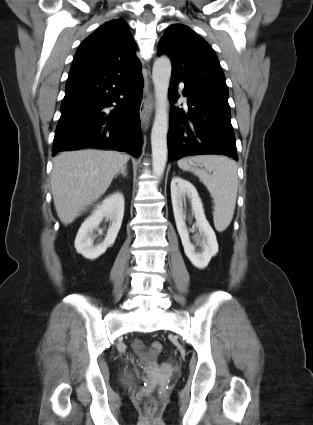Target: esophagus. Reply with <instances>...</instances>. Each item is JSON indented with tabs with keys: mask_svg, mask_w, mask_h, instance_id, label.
Wrapping results in <instances>:
<instances>
[{
	"mask_svg": "<svg viewBox=\"0 0 313 425\" xmlns=\"http://www.w3.org/2000/svg\"><path fill=\"white\" fill-rule=\"evenodd\" d=\"M154 104V96L150 89H147L143 95L142 103L140 106V119L141 124L145 127L147 121L149 120L152 112V107Z\"/></svg>",
	"mask_w": 313,
	"mask_h": 425,
	"instance_id": "esophagus-1",
	"label": "esophagus"
}]
</instances>
